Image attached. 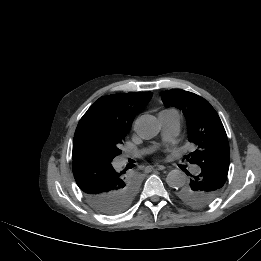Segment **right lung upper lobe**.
<instances>
[{
  "instance_id": "obj_1",
  "label": "right lung upper lobe",
  "mask_w": 261,
  "mask_h": 261,
  "mask_svg": "<svg viewBox=\"0 0 261 261\" xmlns=\"http://www.w3.org/2000/svg\"><path fill=\"white\" fill-rule=\"evenodd\" d=\"M151 97V92H131L101 97L88 109L79 123L128 132L136 113L150 101Z\"/></svg>"
}]
</instances>
